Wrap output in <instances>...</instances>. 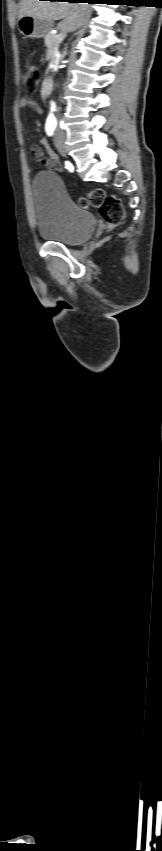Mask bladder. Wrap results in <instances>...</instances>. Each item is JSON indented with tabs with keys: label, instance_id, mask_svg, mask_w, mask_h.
I'll use <instances>...</instances> for the list:
<instances>
[{
	"label": "bladder",
	"instance_id": "31cf9c89",
	"mask_svg": "<svg viewBox=\"0 0 162 851\" xmlns=\"http://www.w3.org/2000/svg\"><path fill=\"white\" fill-rule=\"evenodd\" d=\"M31 191L37 231L43 239L77 245L92 236L96 227L95 216L68 196L57 173H38L32 181Z\"/></svg>",
	"mask_w": 162,
	"mask_h": 851
}]
</instances>
